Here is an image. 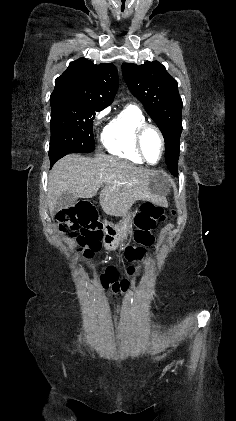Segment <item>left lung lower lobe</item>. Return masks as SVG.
<instances>
[{
	"mask_svg": "<svg viewBox=\"0 0 236 421\" xmlns=\"http://www.w3.org/2000/svg\"><path fill=\"white\" fill-rule=\"evenodd\" d=\"M169 171L172 175L177 176L178 175V168L177 165H168Z\"/></svg>",
	"mask_w": 236,
	"mask_h": 421,
	"instance_id": "0a47b994",
	"label": "left lung lower lobe"
}]
</instances>
